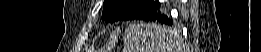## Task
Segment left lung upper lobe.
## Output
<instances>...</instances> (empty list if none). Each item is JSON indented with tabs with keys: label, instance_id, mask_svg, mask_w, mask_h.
<instances>
[{
	"label": "left lung upper lobe",
	"instance_id": "5c2ea615",
	"mask_svg": "<svg viewBox=\"0 0 261 52\" xmlns=\"http://www.w3.org/2000/svg\"><path fill=\"white\" fill-rule=\"evenodd\" d=\"M155 3L152 0H105L102 19L111 23L137 19Z\"/></svg>",
	"mask_w": 261,
	"mask_h": 52
}]
</instances>
